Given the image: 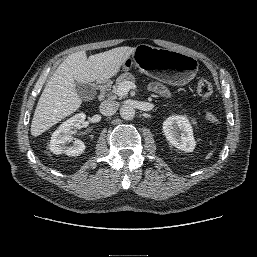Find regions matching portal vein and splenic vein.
<instances>
[{
  "label": "portal vein and splenic vein",
  "instance_id": "1",
  "mask_svg": "<svg viewBox=\"0 0 257 257\" xmlns=\"http://www.w3.org/2000/svg\"><path fill=\"white\" fill-rule=\"evenodd\" d=\"M135 88H136V85L133 82L125 81L119 85L117 92L119 96H125L130 89H135Z\"/></svg>",
  "mask_w": 257,
  "mask_h": 257
}]
</instances>
